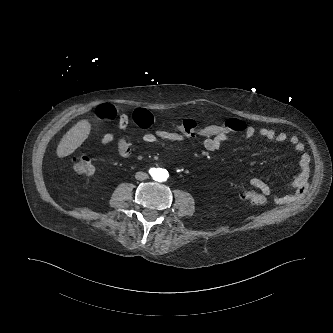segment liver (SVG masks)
<instances>
[{
    "mask_svg": "<svg viewBox=\"0 0 333 333\" xmlns=\"http://www.w3.org/2000/svg\"><path fill=\"white\" fill-rule=\"evenodd\" d=\"M91 124L88 120L77 122L60 140L56 154L59 158L71 155L88 138Z\"/></svg>",
    "mask_w": 333,
    "mask_h": 333,
    "instance_id": "6515ba94",
    "label": "liver"
}]
</instances>
